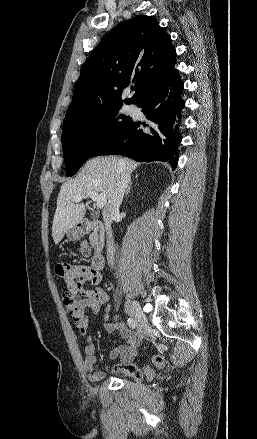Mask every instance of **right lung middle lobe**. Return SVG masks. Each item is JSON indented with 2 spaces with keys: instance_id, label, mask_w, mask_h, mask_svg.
I'll use <instances>...</instances> for the list:
<instances>
[{
  "instance_id": "obj_1",
  "label": "right lung middle lobe",
  "mask_w": 257,
  "mask_h": 439,
  "mask_svg": "<svg viewBox=\"0 0 257 439\" xmlns=\"http://www.w3.org/2000/svg\"><path fill=\"white\" fill-rule=\"evenodd\" d=\"M121 104L65 120L62 128L63 156L67 176H73L92 152L120 132L132 120L120 114Z\"/></svg>"
}]
</instances>
